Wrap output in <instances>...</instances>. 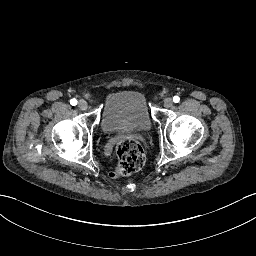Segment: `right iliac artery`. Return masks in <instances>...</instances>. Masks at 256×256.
<instances>
[{"label":"right iliac artery","mask_w":256,"mask_h":256,"mask_svg":"<svg viewBox=\"0 0 256 256\" xmlns=\"http://www.w3.org/2000/svg\"><path fill=\"white\" fill-rule=\"evenodd\" d=\"M70 104L73 106L77 105V100L75 98L71 99Z\"/></svg>","instance_id":"obj_1"}]
</instances>
